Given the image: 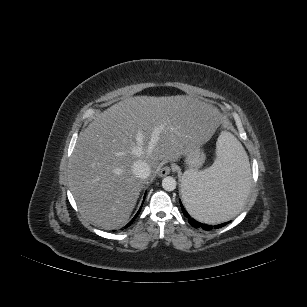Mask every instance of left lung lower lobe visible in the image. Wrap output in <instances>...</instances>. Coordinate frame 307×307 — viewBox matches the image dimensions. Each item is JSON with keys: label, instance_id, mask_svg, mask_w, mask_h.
I'll return each mask as SVG.
<instances>
[{"label": "left lung lower lobe", "instance_id": "1", "mask_svg": "<svg viewBox=\"0 0 307 307\" xmlns=\"http://www.w3.org/2000/svg\"><path fill=\"white\" fill-rule=\"evenodd\" d=\"M246 172L242 168L234 169L228 175V184L223 190V195L221 202L223 206L235 213L238 211L241 202H242V194H243V185L246 181ZM180 206L182 209L183 214L186 218H188V222L195 228H202L203 230H211V229H218L225 225H227L230 221L218 224V225H207L196 221L195 219L191 218L188 212L185 210L183 204L180 201Z\"/></svg>", "mask_w": 307, "mask_h": 307}]
</instances>
